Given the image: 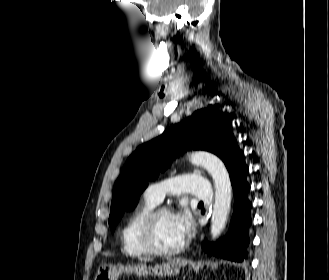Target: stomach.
<instances>
[{
	"instance_id": "obj_1",
	"label": "stomach",
	"mask_w": 329,
	"mask_h": 280,
	"mask_svg": "<svg viewBox=\"0 0 329 280\" xmlns=\"http://www.w3.org/2000/svg\"><path fill=\"white\" fill-rule=\"evenodd\" d=\"M180 272V266L177 261H170L154 267H147L145 264L138 265H112L102 264L95 275L94 280H117L123 273H135L138 276H147L154 274L162 277L175 276Z\"/></svg>"
}]
</instances>
